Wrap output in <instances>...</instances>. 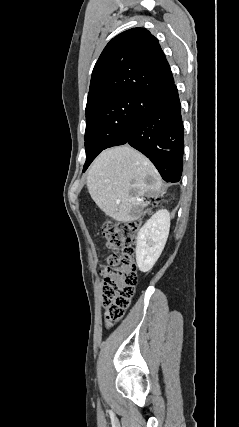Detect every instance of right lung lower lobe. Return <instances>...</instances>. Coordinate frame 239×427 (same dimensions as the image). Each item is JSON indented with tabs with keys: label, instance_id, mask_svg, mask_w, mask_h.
Wrapping results in <instances>:
<instances>
[{
	"label": "right lung lower lobe",
	"instance_id": "right-lung-lower-lobe-1",
	"mask_svg": "<svg viewBox=\"0 0 239 427\" xmlns=\"http://www.w3.org/2000/svg\"><path fill=\"white\" fill-rule=\"evenodd\" d=\"M128 143L148 157L167 182L180 181L183 165L184 131L178 90L173 83L141 96L127 138Z\"/></svg>",
	"mask_w": 239,
	"mask_h": 427
}]
</instances>
